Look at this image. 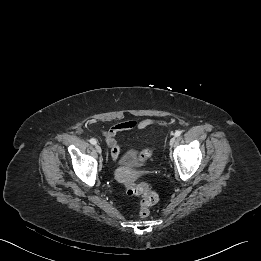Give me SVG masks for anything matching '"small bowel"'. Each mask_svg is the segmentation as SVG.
I'll list each match as a JSON object with an SVG mask.
<instances>
[{"label":"small bowel","mask_w":261,"mask_h":261,"mask_svg":"<svg viewBox=\"0 0 261 261\" xmlns=\"http://www.w3.org/2000/svg\"><path fill=\"white\" fill-rule=\"evenodd\" d=\"M166 123L159 120L143 119L140 121H123L113 125L109 130L102 131L101 134L105 138L106 143L111 149V157L113 160H117L121 151V145L116 140L117 135L120 132L127 130H143L149 127L159 128L165 126Z\"/></svg>","instance_id":"1"}]
</instances>
